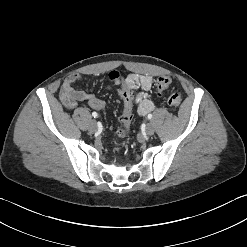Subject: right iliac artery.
<instances>
[{
	"label": "right iliac artery",
	"mask_w": 247,
	"mask_h": 247,
	"mask_svg": "<svg viewBox=\"0 0 247 247\" xmlns=\"http://www.w3.org/2000/svg\"><path fill=\"white\" fill-rule=\"evenodd\" d=\"M92 116H93L94 118L98 117L97 112H93V113H92Z\"/></svg>",
	"instance_id": "right-iliac-artery-1"
}]
</instances>
